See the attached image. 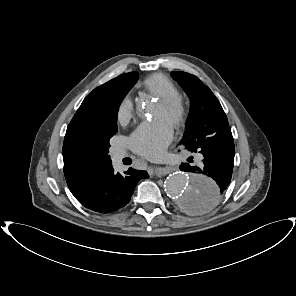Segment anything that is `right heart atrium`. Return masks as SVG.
Instances as JSON below:
<instances>
[{
    "label": "right heart atrium",
    "mask_w": 296,
    "mask_h": 296,
    "mask_svg": "<svg viewBox=\"0 0 296 296\" xmlns=\"http://www.w3.org/2000/svg\"><path fill=\"white\" fill-rule=\"evenodd\" d=\"M134 115V105L130 98H124L118 105L116 119L119 124H127Z\"/></svg>",
    "instance_id": "1"
}]
</instances>
